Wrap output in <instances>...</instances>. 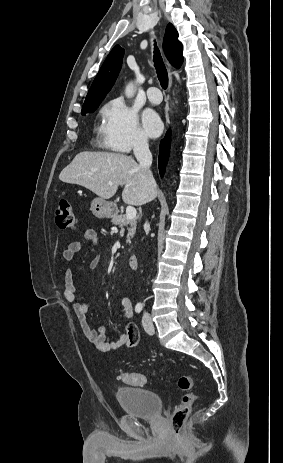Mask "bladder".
Here are the masks:
<instances>
[{"mask_svg":"<svg viewBox=\"0 0 283 463\" xmlns=\"http://www.w3.org/2000/svg\"><path fill=\"white\" fill-rule=\"evenodd\" d=\"M123 412L139 418L154 419L161 414L162 400L155 392L139 387H123L115 392Z\"/></svg>","mask_w":283,"mask_h":463,"instance_id":"bladder-1","label":"bladder"}]
</instances>
